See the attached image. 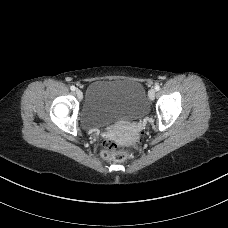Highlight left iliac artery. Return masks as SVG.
Instances as JSON below:
<instances>
[{
	"label": "left iliac artery",
	"instance_id": "1",
	"mask_svg": "<svg viewBox=\"0 0 228 228\" xmlns=\"http://www.w3.org/2000/svg\"><path fill=\"white\" fill-rule=\"evenodd\" d=\"M155 90H156V91L160 90V86H159L158 84L155 85Z\"/></svg>",
	"mask_w": 228,
	"mask_h": 228
}]
</instances>
